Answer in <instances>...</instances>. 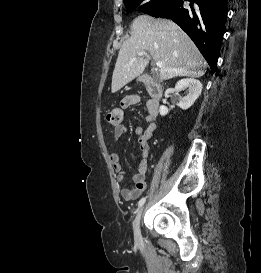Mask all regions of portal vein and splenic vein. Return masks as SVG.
Listing matches in <instances>:
<instances>
[{
	"label": "portal vein and splenic vein",
	"mask_w": 261,
	"mask_h": 273,
	"mask_svg": "<svg viewBox=\"0 0 261 273\" xmlns=\"http://www.w3.org/2000/svg\"><path fill=\"white\" fill-rule=\"evenodd\" d=\"M144 54H145V51H141L138 53V56H142ZM156 65L158 68H162V66H163L162 62H157Z\"/></svg>",
	"instance_id": "obj_1"
}]
</instances>
